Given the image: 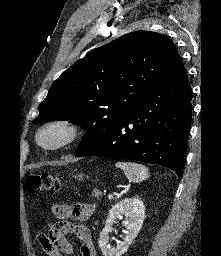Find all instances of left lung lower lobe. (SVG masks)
Listing matches in <instances>:
<instances>
[{"mask_svg": "<svg viewBox=\"0 0 221 256\" xmlns=\"http://www.w3.org/2000/svg\"><path fill=\"white\" fill-rule=\"evenodd\" d=\"M191 88L183 67L154 88L115 125L75 152L168 167L182 177L191 123ZM130 125V126H129Z\"/></svg>", "mask_w": 221, "mask_h": 256, "instance_id": "obj_1", "label": "left lung lower lobe"}]
</instances>
